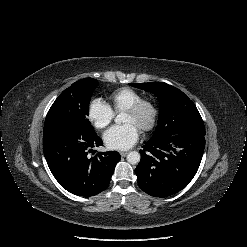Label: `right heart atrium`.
<instances>
[{
  "mask_svg": "<svg viewBox=\"0 0 247 247\" xmlns=\"http://www.w3.org/2000/svg\"><path fill=\"white\" fill-rule=\"evenodd\" d=\"M87 116L97 129H103L112 122L114 111L102 99L94 98L88 104Z\"/></svg>",
  "mask_w": 247,
  "mask_h": 247,
  "instance_id": "1",
  "label": "right heart atrium"
}]
</instances>
